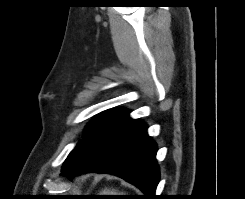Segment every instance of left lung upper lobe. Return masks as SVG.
Wrapping results in <instances>:
<instances>
[{
  "mask_svg": "<svg viewBox=\"0 0 245 199\" xmlns=\"http://www.w3.org/2000/svg\"><path fill=\"white\" fill-rule=\"evenodd\" d=\"M124 110L116 109L110 111H104L100 113L95 120H93L88 126L85 128V135L83 140L79 141L77 146L71 151L65 160L62 171L67 169L69 166L73 164V162L78 158V156L82 153L85 146L88 142L99 132L101 131L108 123L113 121L117 116H119Z\"/></svg>",
  "mask_w": 245,
  "mask_h": 199,
  "instance_id": "obj_1",
  "label": "left lung upper lobe"
}]
</instances>
